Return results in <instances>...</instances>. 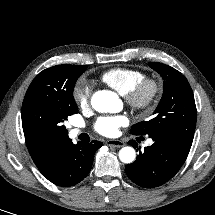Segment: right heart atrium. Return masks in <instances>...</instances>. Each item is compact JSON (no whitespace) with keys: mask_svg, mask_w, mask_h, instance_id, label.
Wrapping results in <instances>:
<instances>
[{"mask_svg":"<svg viewBox=\"0 0 215 215\" xmlns=\"http://www.w3.org/2000/svg\"><path fill=\"white\" fill-rule=\"evenodd\" d=\"M92 92V84L87 80H80L74 87L73 98L79 107H86Z\"/></svg>","mask_w":215,"mask_h":215,"instance_id":"1","label":"right heart atrium"}]
</instances>
